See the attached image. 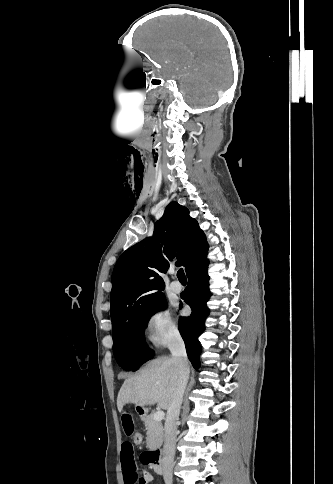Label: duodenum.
<instances>
[{
  "instance_id": "410a0bca",
  "label": "duodenum",
  "mask_w": 333,
  "mask_h": 484,
  "mask_svg": "<svg viewBox=\"0 0 333 484\" xmlns=\"http://www.w3.org/2000/svg\"><path fill=\"white\" fill-rule=\"evenodd\" d=\"M149 458H150V460L152 462L154 471L157 474L162 475L164 473V465H163V462H162V459H161V452H160V450H154V451H152L149 454Z\"/></svg>"
}]
</instances>
